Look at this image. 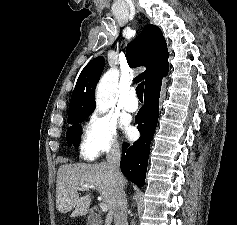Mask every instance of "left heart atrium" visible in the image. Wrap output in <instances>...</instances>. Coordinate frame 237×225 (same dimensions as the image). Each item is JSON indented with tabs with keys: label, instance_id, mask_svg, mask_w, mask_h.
Listing matches in <instances>:
<instances>
[{
	"label": "left heart atrium",
	"instance_id": "obj_1",
	"mask_svg": "<svg viewBox=\"0 0 237 225\" xmlns=\"http://www.w3.org/2000/svg\"><path fill=\"white\" fill-rule=\"evenodd\" d=\"M127 134L131 136L133 134V129L132 128H127Z\"/></svg>",
	"mask_w": 237,
	"mask_h": 225
}]
</instances>
